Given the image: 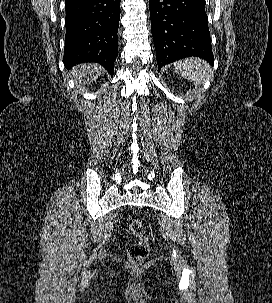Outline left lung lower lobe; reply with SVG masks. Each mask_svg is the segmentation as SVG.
<instances>
[{
	"label": "left lung lower lobe",
	"mask_w": 272,
	"mask_h": 303,
	"mask_svg": "<svg viewBox=\"0 0 272 303\" xmlns=\"http://www.w3.org/2000/svg\"><path fill=\"white\" fill-rule=\"evenodd\" d=\"M149 9L158 70L188 56L214 63L205 0H149Z\"/></svg>",
	"instance_id": "obj_1"
}]
</instances>
